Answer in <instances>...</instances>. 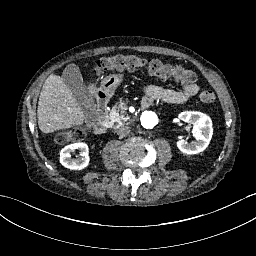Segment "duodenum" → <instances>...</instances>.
Returning <instances> with one entry per match:
<instances>
[{"label":"duodenum","instance_id":"duodenum-1","mask_svg":"<svg viewBox=\"0 0 256 256\" xmlns=\"http://www.w3.org/2000/svg\"><path fill=\"white\" fill-rule=\"evenodd\" d=\"M122 77L119 74H109L103 78V81L99 84L97 89L98 101L96 106L99 110L98 120L93 126V130L97 135H105L108 130L109 118L108 110L111 106V92L113 88L119 87L122 84ZM152 103L150 96H144L139 100L138 105L140 108L145 109Z\"/></svg>","mask_w":256,"mask_h":256}]
</instances>
